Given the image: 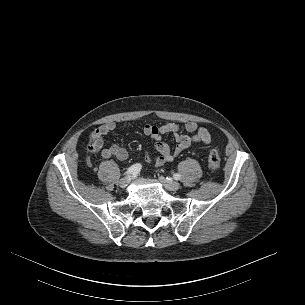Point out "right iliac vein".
Returning <instances> with one entry per match:
<instances>
[{
  "instance_id": "1",
  "label": "right iliac vein",
  "mask_w": 305,
  "mask_h": 305,
  "mask_svg": "<svg viewBox=\"0 0 305 305\" xmlns=\"http://www.w3.org/2000/svg\"><path fill=\"white\" fill-rule=\"evenodd\" d=\"M129 182H130V177L126 176L119 181V186L122 189H125L128 186Z\"/></svg>"
}]
</instances>
